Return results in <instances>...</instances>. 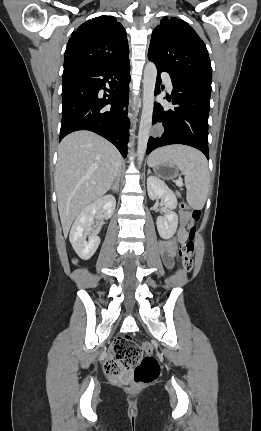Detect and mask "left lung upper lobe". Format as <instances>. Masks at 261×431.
Returning <instances> with one entry per match:
<instances>
[{
	"label": "left lung upper lobe",
	"instance_id": "5c2ea615",
	"mask_svg": "<svg viewBox=\"0 0 261 431\" xmlns=\"http://www.w3.org/2000/svg\"><path fill=\"white\" fill-rule=\"evenodd\" d=\"M148 58L176 76L212 82L207 48L194 29L181 19L161 20L153 30Z\"/></svg>",
	"mask_w": 261,
	"mask_h": 431
}]
</instances>
